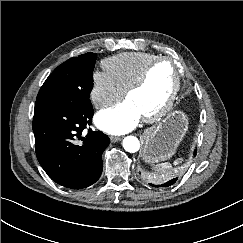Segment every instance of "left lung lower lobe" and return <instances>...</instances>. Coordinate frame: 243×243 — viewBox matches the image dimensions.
<instances>
[{
	"mask_svg": "<svg viewBox=\"0 0 243 243\" xmlns=\"http://www.w3.org/2000/svg\"><path fill=\"white\" fill-rule=\"evenodd\" d=\"M194 155H196V150L194 151ZM176 180H177V178H174V179H171L170 181L166 182L165 184H162V185H153V184H151V186H153V187H161V186L167 187V186H170V185L174 184L176 182Z\"/></svg>",
	"mask_w": 243,
	"mask_h": 243,
	"instance_id": "obj_1",
	"label": "left lung lower lobe"
}]
</instances>
